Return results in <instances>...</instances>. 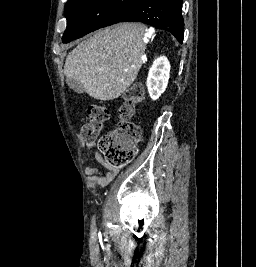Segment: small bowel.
I'll use <instances>...</instances> for the list:
<instances>
[{
	"label": "small bowel",
	"instance_id": "obj_1",
	"mask_svg": "<svg viewBox=\"0 0 256 267\" xmlns=\"http://www.w3.org/2000/svg\"><path fill=\"white\" fill-rule=\"evenodd\" d=\"M83 145L87 150H91L95 147V143L92 140H84ZM95 160L103 167V169L87 166V182L92 187L97 186L103 188L107 186L117 175V169L110 166L99 151L95 152Z\"/></svg>",
	"mask_w": 256,
	"mask_h": 267
}]
</instances>
